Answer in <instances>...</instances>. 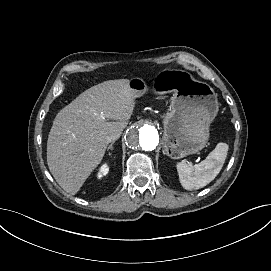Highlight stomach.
<instances>
[{
    "label": "stomach",
    "instance_id": "stomach-1",
    "mask_svg": "<svg viewBox=\"0 0 271 271\" xmlns=\"http://www.w3.org/2000/svg\"><path fill=\"white\" fill-rule=\"evenodd\" d=\"M131 88L142 93L145 85L139 79ZM158 92L174 91L172 110L162 117L163 153L171 159H182L199 153L210 137V125L218 113V98L213 88L194 81L183 71H164L154 83Z\"/></svg>",
    "mask_w": 271,
    "mask_h": 271
}]
</instances>
